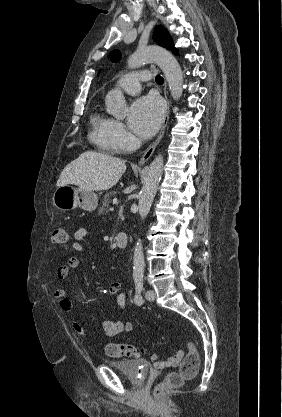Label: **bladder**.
<instances>
[{"label":"bladder","instance_id":"bladder-1","mask_svg":"<svg viewBox=\"0 0 282 417\" xmlns=\"http://www.w3.org/2000/svg\"><path fill=\"white\" fill-rule=\"evenodd\" d=\"M106 363L121 372L131 383L136 385H140L145 381L151 369L150 362L143 358L108 360Z\"/></svg>","mask_w":282,"mask_h":417}]
</instances>
